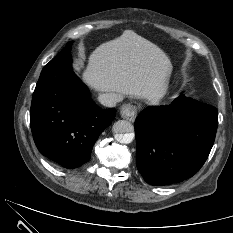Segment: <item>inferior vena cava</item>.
<instances>
[{
    "label": "inferior vena cava",
    "mask_w": 233,
    "mask_h": 233,
    "mask_svg": "<svg viewBox=\"0 0 233 233\" xmlns=\"http://www.w3.org/2000/svg\"><path fill=\"white\" fill-rule=\"evenodd\" d=\"M99 102L106 107H114L117 102L122 100L121 95L116 93H105L98 97Z\"/></svg>",
    "instance_id": "602c4592"
}]
</instances>
